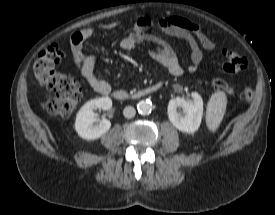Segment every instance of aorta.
Returning <instances> with one entry per match:
<instances>
[{
	"instance_id": "obj_1",
	"label": "aorta",
	"mask_w": 275,
	"mask_h": 215,
	"mask_svg": "<svg viewBox=\"0 0 275 215\" xmlns=\"http://www.w3.org/2000/svg\"><path fill=\"white\" fill-rule=\"evenodd\" d=\"M138 112L142 115H147L152 110V103L148 100L140 101L137 105Z\"/></svg>"
}]
</instances>
